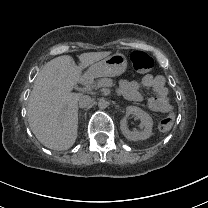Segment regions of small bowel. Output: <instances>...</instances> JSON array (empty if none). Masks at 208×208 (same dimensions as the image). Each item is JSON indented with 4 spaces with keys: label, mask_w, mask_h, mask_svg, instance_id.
Returning <instances> with one entry per match:
<instances>
[{
    "label": "small bowel",
    "mask_w": 208,
    "mask_h": 208,
    "mask_svg": "<svg viewBox=\"0 0 208 208\" xmlns=\"http://www.w3.org/2000/svg\"><path fill=\"white\" fill-rule=\"evenodd\" d=\"M121 92L124 97L133 102L142 101L140 89L152 90L153 95L147 99V107L156 113H168L172 110L169 92L162 76L145 74L134 80H121Z\"/></svg>",
    "instance_id": "small-bowel-1"
}]
</instances>
